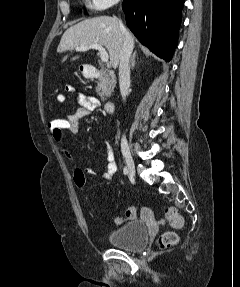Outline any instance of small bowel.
<instances>
[{
	"label": "small bowel",
	"instance_id": "c3829d8e",
	"mask_svg": "<svg viewBox=\"0 0 240 287\" xmlns=\"http://www.w3.org/2000/svg\"><path fill=\"white\" fill-rule=\"evenodd\" d=\"M65 91L68 94L74 96L79 103L78 109L74 113L68 115L66 118L68 122V129L66 133L75 135L78 132L80 120L90 115L94 110H96L99 107V101L94 96L86 95L81 92H78L71 85H66ZM55 100L59 103H64L66 102L67 97L65 94L59 93L55 96ZM63 137L60 139L54 137V139L56 142L63 144V140H64ZM64 153L70 160H73V157L68 150L65 149ZM78 170H81L83 173L87 175H91V176L96 175V171L93 170L92 168H83V169H78ZM116 172H117V164L115 161L114 151H113L112 146L110 144H107L106 145V169L104 173L102 174V178L104 180H111L114 177ZM141 217L147 220L151 219L153 217L152 210L148 207H143L141 209Z\"/></svg>",
	"mask_w": 240,
	"mask_h": 287
}]
</instances>
